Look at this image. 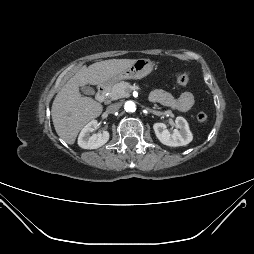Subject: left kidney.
Here are the masks:
<instances>
[{
    "label": "left kidney",
    "instance_id": "1",
    "mask_svg": "<svg viewBox=\"0 0 254 254\" xmlns=\"http://www.w3.org/2000/svg\"><path fill=\"white\" fill-rule=\"evenodd\" d=\"M175 126L176 129L170 132L164 123H155L153 129L156 137L164 145L178 147L189 144L192 141L193 136L185 118L180 116L176 117Z\"/></svg>",
    "mask_w": 254,
    "mask_h": 254
}]
</instances>
